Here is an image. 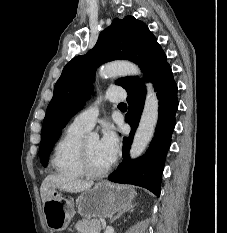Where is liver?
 Instances as JSON below:
<instances>
[{"mask_svg":"<svg viewBox=\"0 0 227 233\" xmlns=\"http://www.w3.org/2000/svg\"><path fill=\"white\" fill-rule=\"evenodd\" d=\"M92 181L76 180L63 176L61 174H50L43 180L40 188V195L43 204L48 199L49 192L52 190H63L70 193H79L90 189L93 186Z\"/></svg>","mask_w":227,"mask_h":233,"instance_id":"1","label":"liver"}]
</instances>
